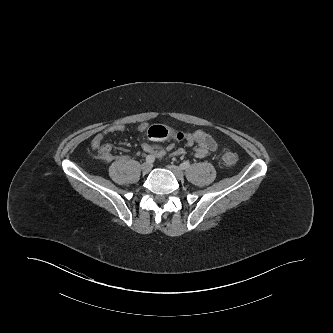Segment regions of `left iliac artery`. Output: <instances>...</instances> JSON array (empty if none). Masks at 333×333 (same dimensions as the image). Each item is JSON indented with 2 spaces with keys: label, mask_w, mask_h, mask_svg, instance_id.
Listing matches in <instances>:
<instances>
[{
  "label": "left iliac artery",
  "mask_w": 333,
  "mask_h": 333,
  "mask_svg": "<svg viewBox=\"0 0 333 333\" xmlns=\"http://www.w3.org/2000/svg\"><path fill=\"white\" fill-rule=\"evenodd\" d=\"M180 167H181L182 169H188V168L190 167V163H189L188 161H184V162L180 165Z\"/></svg>",
  "instance_id": "left-iliac-artery-1"
}]
</instances>
